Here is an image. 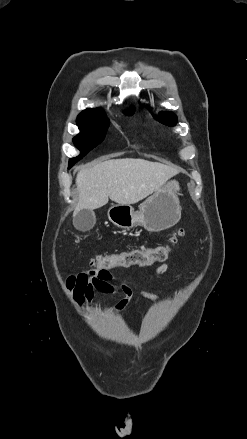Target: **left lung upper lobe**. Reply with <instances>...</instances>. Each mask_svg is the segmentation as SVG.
<instances>
[{"instance_id": "obj_1", "label": "left lung upper lobe", "mask_w": 247, "mask_h": 439, "mask_svg": "<svg viewBox=\"0 0 247 439\" xmlns=\"http://www.w3.org/2000/svg\"><path fill=\"white\" fill-rule=\"evenodd\" d=\"M159 122L165 123L167 125H175L177 123V117L171 113H160L158 117H155Z\"/></svg>"}]
</instances>
